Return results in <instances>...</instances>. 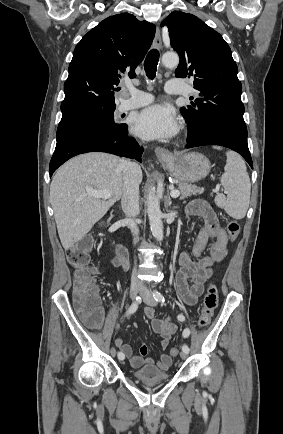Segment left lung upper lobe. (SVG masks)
I'll use <instances>...</instances> for the list:
<instances>
[{"label":"left lung upper lobe","mask_w":283,"mask_h":434,"mask_svg":"<svg viewBox=\"0 0 283 434\" xmlns=\"http://www.w3.org/2000/svg\"><path fill=\"white\" fill-rule=\"evenodd\" d=\"M180 62L176 77L192 78L199 92L192 106L182 107L188 123V139L226 130L247 136L241 101L242 85L231 49L223 37L198 17L172 12L162 23Z\"/></svg>","instance_id":"obj_1"}]
</instances>
